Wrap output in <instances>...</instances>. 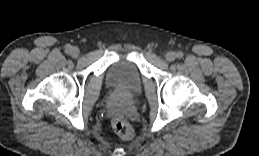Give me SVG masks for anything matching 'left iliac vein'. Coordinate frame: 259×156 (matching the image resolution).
Masks as SVG:
<instances>
[{"label":"left iliac vein","mask_w":259,"mask_h":156,"mask_svg":"<svg viewBox=\"0 0 259 156\" xmlns=\"http://www.w3.org/2000/svg\"><path fill=\"white\" fill-rule=\"evenodd\" d=\"M165 58L168 62H172L176 59V54L174 52L170 51L166 54Z\"/></svg>","instance_id":"obj_1"}]
</instances>
